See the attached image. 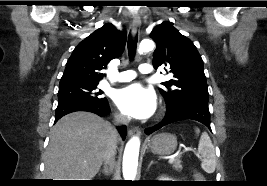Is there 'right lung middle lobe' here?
I'll list each match as a JSON object with an SVG mask.
<instances>
[{
	"instance_id": "dd1d6c3e",
	"label": "right lung middle lobe",
	"mask_w": 267,
	"mask_h": 186,
	"mask_svg": "<svg viewBox=\"0 0 267 186\" xmlns=\"http://www.w3.org/2000/svg\"><path fill=\"white\" fill-rule=\"evenodd\" d=\"M96 83H74L60 85L58 91V100H65L71 98H83L94 101L106 102L107 99L101 97L102 92L97 90Z\"/></svg>"
}]
</instances>
